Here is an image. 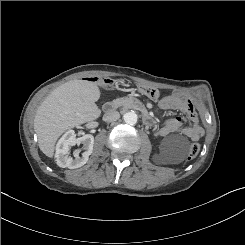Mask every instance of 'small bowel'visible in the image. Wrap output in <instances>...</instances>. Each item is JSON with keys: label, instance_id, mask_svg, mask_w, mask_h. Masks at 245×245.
Listing matches in <instances>:
<instances>
[{"label": "small bowel", "instance_id": "1", "mask_svg": "<svg viewBox=\"0 0 245 245\" xmlns=\"http://www.w3.org/2000/svg\"><path fill=\"white\" fill-rule=\"evenodd\" d=\"M159 107L162 109L177 110L185 115L190 124L186 127H181L182 118L167 119L163 125L156 130V135L165 136L174 132H182L186 137L191 140H200L204 131L199 124L198 115L193 106L192 101L179 92H174L159 101Z\"/></svg>", "mask_w": 245, "mask_h": 245}]
</instances>
